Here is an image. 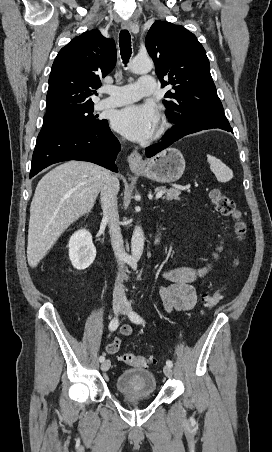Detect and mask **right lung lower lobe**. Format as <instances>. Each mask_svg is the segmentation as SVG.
<instances>
[{
	"mask_svg": "<svg viewBox=\"0 0 272 452\" xmlns=\"http://www.w3.org/2000/svg\"><path fill=\"white\" fill-rule=\"evenodd\" d=\"M120 143L111 132L108 122L91 127H43L33 152L30 178L51 164L80 160L89 161L118 172L115 160Z\"/></svg>",
	"mask_w": 272,
	"mask_h": 452,
	"instance_id": "obj_1",
	"label": "right lung lower lobe"
}]
</instances>
